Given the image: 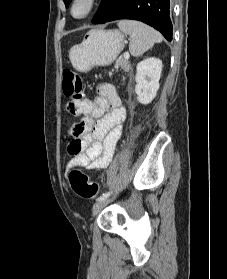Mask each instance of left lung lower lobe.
Segmentation results:
<instances>
[{"mask_svg": "<svg viewBox=\"0 0 227 279\" xmlns=\"http://www.w3.org/2000/svg\"><path fill=\"white\" fill-rule=\"evenodd\" d=\"M119 19L142 21L172 40L169 0H102L92 22L103 24Z\"/></svg>", "mask_w": 227, "mask_h": 279, "instance_id": "obj_1", "label": "left lung lower lobe"}]
</instances>
